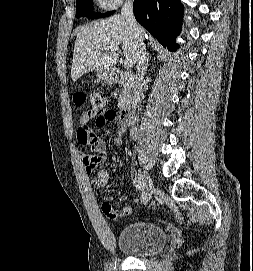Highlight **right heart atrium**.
<instances>
[{"mask_svg":"<svg viewBox=\"0 0 253 271\" xmlns=\"http://www.w3.org/2000/svg\"><path fill=\"white\" fill-rule=\"evenodd\" d=\"M123 0H98L101 7L104 9H113L119 6Z\"/></svg>","mask_w":253,"mask_h":271,"instance_id":"1","label":"right heart atrium"}]
</instances>
